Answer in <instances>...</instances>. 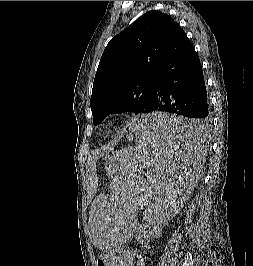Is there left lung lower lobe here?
Instances as JSON below:
<instances>
[{"instance_id":"obj_1","label":"left lung lower lobe","mask_w":253,"mask_h":266,"mask_svg":"<svg viewBox=\"0 0 253 266\" xmlns=\"http://www.w3.org/2000/svg\"><path fill=\"white\" fill-rule=\"evenodd\" d=\"M152 111L192 118L190 122L156 126L155 132L178 140L196 139L210 125L201 63L179 24L175 26L156 66L146 113Z\"/></svg>"}]
</instances>
